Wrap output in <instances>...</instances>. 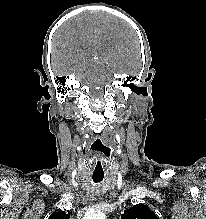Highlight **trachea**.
Masks as SVG:
<instances>
[{
    "label": "trachea",
    "instance_id": "1",
    "mask_svg": "<svg viewBox=\"0 0 206 219\" xmlns=\"http://www.w3.org/2000/svg\"><path fill=\"white\" fill-rule=\"evenodd\" d=\"M104 174H93L92 179L94 183H99L103 180Z\"/></svg>",
    "mask_w": 206,
    "mask_h": 219
}]
</instances>
